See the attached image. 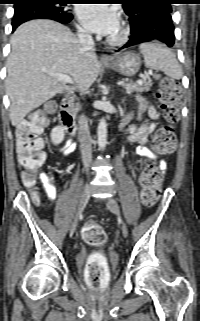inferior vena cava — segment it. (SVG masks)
I'll use <instances>...</instances> for the list:
<instances>
[{"label":"inferior vena cava","mask_w":200,"mask_h":321,"mask_svg":"<svg viewBox=\"0 0 200 321\" xmlns=\"http://www.w3.org/2000/svg\"><path fill=\"white\" fill-rule=\"evenodd\" d=\"M79 43L84 50H94V41L91 34L84 30L79 29L77 32ZM79 125V141L81 147L82 161L88 171L90 164L92 162V140L89 132L88 119L82 114L78 119Z\"/></svg>","instance_id":"602c4592"}]
</instances>
